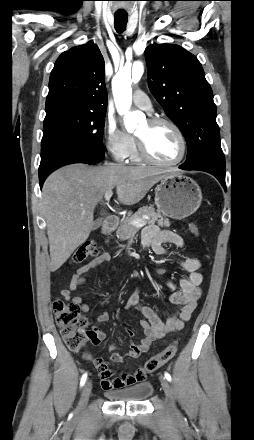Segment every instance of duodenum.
Masks as SVG:
<instances>
[{
  "label": "duodenum",
  "mask_w": 254,
  "mask_h": 440,
  "mask_svg": "<svg viewBox=\"0 0 254 440\" xmlns=\"http://www.w3.org/2000/svg\"><path fill=\"white\" fill-rule=\"evenodd\" d=\"M118 225V219L116 216L109 215L105 218L103 226H102V232L104 234H108L111 231H113Z\"/></svg>",
  "instance_id": "obj_1"
}]
</instances>
